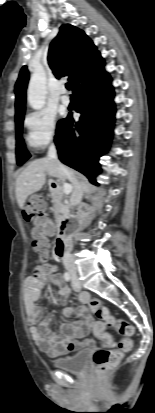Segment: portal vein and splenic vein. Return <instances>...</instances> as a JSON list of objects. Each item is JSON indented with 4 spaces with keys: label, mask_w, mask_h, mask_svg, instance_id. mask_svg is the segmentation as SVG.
<instances>
[{
    "label": "portal vein and splenic vein",
    "mask_w": 155,
    "mask_h": 413,
    "mask_svg": "<svg viewBox=\"0 0 155 413\" xmlns=\"http://www.w3.org/2000/svg\"><path fill=\"white\" fill-rule=\"evenodd\" d=\"M62 190H63V193H64L65 195H68V194H70L71 191H72V186H71L70 184H64Z\"/></svg>",
    "instance_id": "18ae733b"
}]
</instances>
